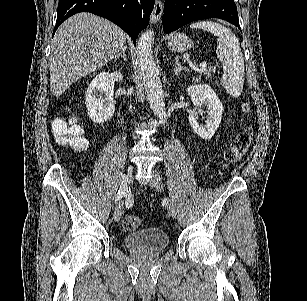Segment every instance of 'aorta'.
<instances>
[{"label": "aorta", "mask_w": 307, "mask_h": 301, "mask_svg": "<svg viewBox=\"0 0 307 301\" xmlns=\"http://www.w3.org/2000/svg\"><path fill=\"white\" fill-rule=\"evenodd\" d=\"M154 30H145L140 34L137 44V54L139 66L142 74L147 100L150 108L160 120L165 122L167 118L164 94L162 90L161 78L158 74V68L153 58L152 44L154 40Z\"/></svg>", "instance_id": "aorta-1"}]
</instances>
